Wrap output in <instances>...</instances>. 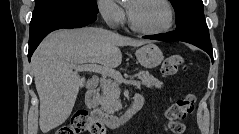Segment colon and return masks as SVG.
<instances>
[{
  "label": "colon",
  "instance_id": "1",
  "mask_svg": "<svg viewBox=\"0 0 239 134\" xmlns=\"http://www.w3.org/2000/svg\"><path fill=\"white\" fill-rule=\"evenodd\" d=\"M183 59L179 55L167 57L162 64V72L165 76H173L183 69ZM195 97L186 94L173 103L166 112L168 127L173 134H183L185 125L181 122L193 112ZM104 134L103 126L92 119L88 112L77 111L73 114L70 124L56 130L55 134Z\"/></svg>",
  "mask_w": 239,
  "mask_h": 134
}]
</instances>
